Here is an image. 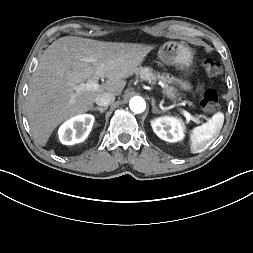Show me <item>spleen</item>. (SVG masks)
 I'll return each instance as SVG.
<instances>
[{"mask_svg": "<svg viewBox=\"0 0 253 253\" xmlns=\"http://www.w3.org/2000/svg\"><path fill=\"white\" fill-rule=\"evenodd\" d=\"M224 123V114L218 112L212 116V118L202 124L195 127L190 134V149L191 153H200L204 151L211 140L218 136Z\"/></svg>", "mask_w": 253, "mask_h": 253, "instance_id": "obj_1", "label": "spleen"}]
</instances>
